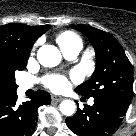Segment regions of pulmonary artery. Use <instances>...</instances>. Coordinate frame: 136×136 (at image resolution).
I'll use <instances>...</instances> for the list:
<instances>
[{
	"label": "pulmonary artery",
	"instance_id": "pulmonary-artery-1",
	"mask_svg": "<svg viewBox=\"0 0 136 136\" xmlns=\"http://www.w3.org/2000/svg\"><path fill=\"white\" fill-rule=\"evenodd\" d=\"M80 50L81 48L79 47H73V48L62 50V52L67 59L73 60L78 56V54L80 53ZM31 86L32 85L29 83H22L20 84V90L26 91L27 89L31 88ZM93 103H94L93 100L89 101L90 105H93Z\"/></svg>",
	"mask_w": 136,
	"mask_h": 136
}]
</instances>
